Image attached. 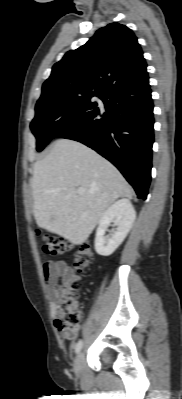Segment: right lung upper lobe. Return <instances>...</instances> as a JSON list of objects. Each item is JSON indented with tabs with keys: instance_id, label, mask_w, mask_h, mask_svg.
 <instances>
[{
	"instance_id": "right-lung-upper-lobe-1",
	"label": "right lung upper lobe",
	"mask_w": 182,
	"mask_h": 399,
	"mask_svg": "<svg viewBox=\"0 0 182 399\" xmlns=\"http://www.w3.org/2000/svg\"><path fill=\"white\" fill-rule=\"evenodd\" d=\"M146 67L134 33L125 25L111 23L53 66L37 103L62 96L104 95L120 84L147 77Z\"/></svg>"
}]
</instances>
